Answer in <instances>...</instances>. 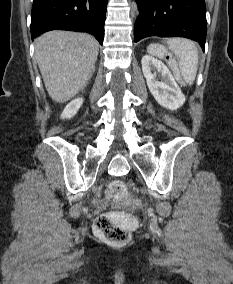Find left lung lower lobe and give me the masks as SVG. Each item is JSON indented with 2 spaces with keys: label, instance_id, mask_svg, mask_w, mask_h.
<instances>
[{
  "label": "left lung lower lobe",
  "instance_id": "0a47b994",
  "mask_svg": "<svg viewBox=\"0 0 233 284\" xmlns=\"http://www.w3.org/2000/svg\"><path fill=\"white\" fill-rule=\"evenodd\" d=\"M139 16L135 42L148 36H180L199 42L204 50L207 22L204 0H136Z\"/></svg>",
  "mask_w": 233,
  "mask_h": 284
}]
</instances>
